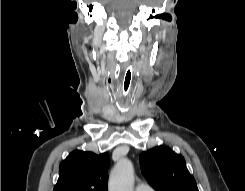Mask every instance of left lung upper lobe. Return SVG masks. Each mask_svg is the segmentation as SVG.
Returning <instances> with one entry per match:
<instances>
[{
  "instance_id": "5c2ea615",
  "label": "left lung upper lobe",
  "mask_w": 245,
  "mask_h": 191,
  "mask_svg": "<svg viewBox=\"0 0 245 191\" xmlns=\"http://www.w3.org/2000/svg\"><path fill=\"white\" fill-rule=\"evenodd\" d=\"M142 173L158 191H198L185 159L168 147L159 146L141 153Z\"/></svg>"
}]
</instances>
